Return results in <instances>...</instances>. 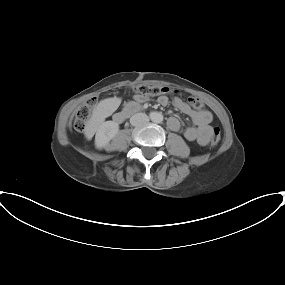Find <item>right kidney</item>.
I'll return each mask as SVG.
<instances>
[{
	"instance_id": "obj_1",
	"label": "right kidney",
	"mask_w": 285,
	"mask_h": 285,
	"mask_svg": "<svg viewBox=\"0 0 285 285\" xmlns=\"http://www.w3.org/2000/svg\"><path fill=\"white\" fill-rule=\"evenodd\" d=\"M119 131V124L114 121L102 123L96 132L95 147L103 149L109 147V141L116 136Z\"/></svg>"
}]
</instances>
